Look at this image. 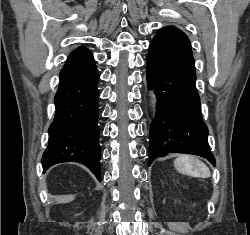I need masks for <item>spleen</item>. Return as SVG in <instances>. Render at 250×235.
<instances>
[{
    "label": "spleen",
    "instance_id": "obj_1",
    "mask_svg": "<svg viewBox=\"0 0 250 235\" xmlns=\"http://www.w3.org/2000/svg\"><path fill=\"white\" fill-rule=\"evenodd\" d=\"M174 166L178 172L188 176L200 178L211 176L207 165L193 156L183 155L178 157L174 161Z\"/></svg>",
    "mask_w": 250,
    "mask_h": 235
}]
</instances>
